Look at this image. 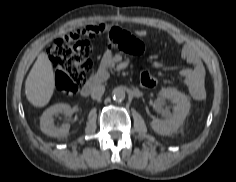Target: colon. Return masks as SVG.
Returning <instances> with one entry per match:
<instances>
[{"mask_svg":"<svg viewBox=\"0 0 236 182\" xmlns=\"http://www.w3.org/2000/svg\"><path fill=\"white\" fill-rule=\"evenodd\" d=\"M96 34L106 35L112 45L130 55L139 56L145 50V45L139 38L110 24L89 26L78 33L52 40L47 44V53L55 68L56 88L62 95H74L92 71L90 44L84 37ZM140 84L144 88H153L157 79L150 71L145 70L140 74Z\"/></svg>","mask_w":236,"mask_h":182,"instance_id":"5ec220e1","label":"colon"}]
</instances>
